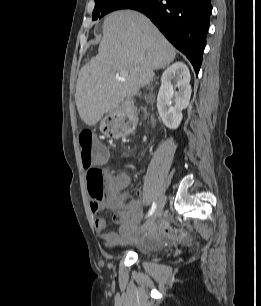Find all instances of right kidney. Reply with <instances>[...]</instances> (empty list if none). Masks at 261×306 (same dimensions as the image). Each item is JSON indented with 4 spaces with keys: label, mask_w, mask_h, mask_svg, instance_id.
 I'll list each match as a JSON object with an SVG mask.
<instances>
[{
    "label": "right kidney",
    "mask_w": 261,
    "mask_h": 306,
    "mask_svg": "<svg viewBox=\"0 0 261 306\" xmlns=\"http://www.w3.org/2000/svg\"><path fill=\"white\" fill-rule=\"evenodd\" d=\"M190 78V71L182 62L174 63L162 74L157 109L163 123L170 129L178 128L182 120V110L189 105L192 93Z\"/></svg>",
    "instance_id": "ca27d5eb"
}]
</instances>
